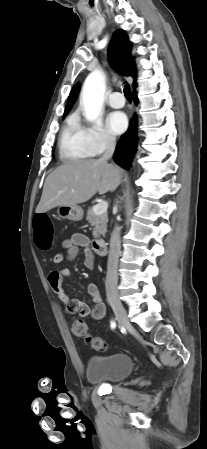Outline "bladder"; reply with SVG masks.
I'll list each match as a JSON object with an SVG mask.
<instances>
[{"label":"bladder","instance_id":"bladder-1","mask_svg":"<svg viewBox=\"0 0 207 449\" xmlns=\"http://www.w3.org/2000/svg\"><path fill=\"white\" fill-rule=\"evenodd\" d=\"M134 370L132 358L124 353L91 356L86 366V378L91 383H118Z\"/></svg>","mask_w":207,"mask_h":449}]
</instances>
